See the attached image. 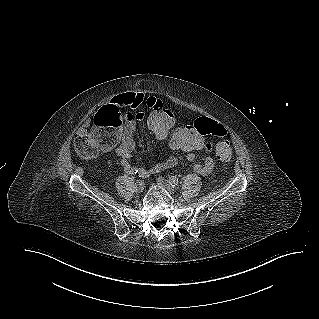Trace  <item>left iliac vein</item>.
Returning a JSON list of instances; mask_svg holds the SVG:
<instances>
[{"label": "left iliac vein", "mask_w": 319, "mask_h": 319, "mask_svg": "<svg viewBox=\"0 0 319 319\" xmlns=\"http://www.w3.org/2000/svg\"><path fill=\"white\" fill-rule=\"evenodd\" d=\"M157 183H158V185H160L161 187L166 189L169 193H171V194L174 193V191H175L174 188L170 185V183L166 179L159 177L157 179Z\"/></svg>", "instance_id": "4c4485c4"}]
</instances>
